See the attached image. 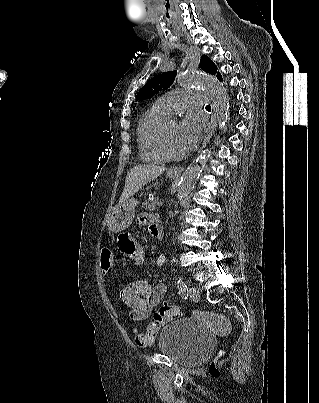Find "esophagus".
Segmentation results:
<instances>
[{
	"label": "esophagus",
	"mask_w": 319,
	"mask_h": 403,
	"mask_svg": "<svg viewBox=\"0 0 319 403\" xmlns=\"http://www.w3.org/2000/svg\"><path fill=\"white\" fill-rule=\"evenodd\" d=\"M216 125H217L216 113L213 110V113H212V116H211V127H210L208 133L206 134V136L204 138V141L202 143V146H201L199 152H201L206 147V145L208 144L210 138L212 137V135H213V133H214V131L216 129ZM169 170L171 172L175 173V174H181L183 172L184 168L183 167H172Z\"/></svg>",
	"instance_id": "esophagus-1"
}]
</instances>
